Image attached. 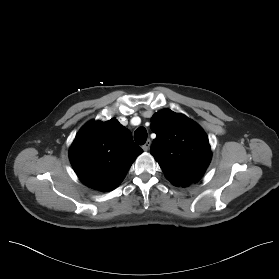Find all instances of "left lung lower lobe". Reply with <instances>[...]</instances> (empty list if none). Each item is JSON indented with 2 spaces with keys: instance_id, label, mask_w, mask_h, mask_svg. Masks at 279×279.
I'll return each mask as SVG.
<instances>
[{
  "instance_id": "1",
  "label": "left lung lower lobe",
  "mask_w": 279,
  "mask_h": 279,
  "mask_svg": "<svg viewBox=\"0 0 279 279\" xmlns=\"http://www.w3.org/2000/svg\"><path fill=\"white\" fill-rule=\"evenodd\" d=\"M175 186H188L189 184L187 183H178V182H171Z\"/></svg>"
}]
</instances>
